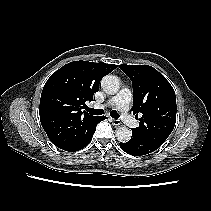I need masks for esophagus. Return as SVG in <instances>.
Returning <instances> with one entry per match:
<instances>
[{"instance_id":"34e87169","label":"esophagus","mask_w":211,"mask_h":211,"mask_svg":"<svg viewBox=\"0 0 211 211\" xmlns=\"http://www.w3.org/2000/svg\"><path fill=\"white\" fill-rule=\"evenodd\" d=\"M112 123L113 125L115 126H119L121 124L120 120L119 119H112Z\"/></svg>"}]
</instances>
